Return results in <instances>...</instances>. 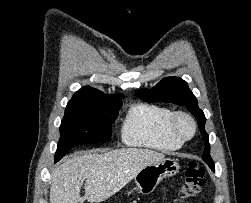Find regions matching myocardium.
I'll list each match as a JSON object with an SVG mask.
<instances>
[{
	"mask_svg": "<svg viewBox=\"0 0 251 203\" xmlns=\"http://www.w3.org/2000/svg\"><path fill=\"white\" fill-rule=\"evenodd\" d=\"M182 120H185L189 123L190 125V132L189 133H183L180 129V122ZM169 129L171 133L179 138L180 140L188 141L192 139L196 133L197 130V124L194 118L188 114L187 112L184 111H176L173 113L170 123H169Z\"/></svg>",
	"mask_w": 251,
	"mask_h": 203,
	"instance_id": "1",
	"label": "myocardium"
}]
</instances>
